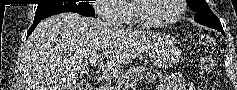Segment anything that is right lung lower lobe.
Returning <instances> with one entry per match:
<instances>
[{
    "instance_id": "1",
    "label": "right lung lower lobe",
    "mask_w": 237,
    "mask_h": 90,
    "mask_svg": "<svg viewBox=\"0 0 237 90\" xmlns=\"http://www.w3.org/2000/svg\"><path fill=\"white\" fill-rule=\"evenodd\" d=\"M83 16H91V15H86V14H81ZM41 20H38V21H34L32 26L30 27V29L28 30V33H27V37L33 32V30L35 29V27L38 25V23L40 22Z\"/></svg>"
}]
</instances>
